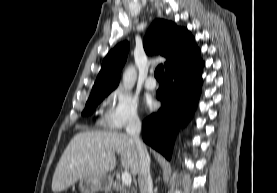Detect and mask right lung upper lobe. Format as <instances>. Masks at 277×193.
Returning <instances> with one entry per match:
<instances>
[{
    "instance_id": "obj_1",
    "label": "right lung upper lobe",
    "mask_w": 277,
    "mask_h": 193,
    "mask_svg": "<svg viewBox=\"0 0 277 193\" xmlns=\"http://www.w3.org/2000/svg\"><path fill=\"white\" fill-rule=\"evenodd\" d=\"M143 45L147 54L155 52L166 57L165 71L198 49L187 29L163 19L153 21L144 37ZM128 51L129 43L123 42L107 54L91 94L112 91L118 86L120 71L126 62Z\"/></svg>"
}]
</instances>
